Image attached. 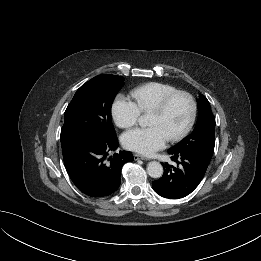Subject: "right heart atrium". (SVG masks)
I'll list each match as a JSON object with an SVG mask.
<instances>
[{"instance_id": "right-heart-atrium-1", "label": "right heart atrium", "mask_w": 261, "mask_h": 261, "mask_svg": "<svg viewBox=\"0 0 261 261\" xmlns=\"http://www.w3.org/2000/svg\"><path fill=\"white\" fill-rule=\"evenodd\" d=\"M141 115V110L133 99L119 95L112 105V117L117 126L129 128L134 126Z\"/></svg>"}]
</instances>
